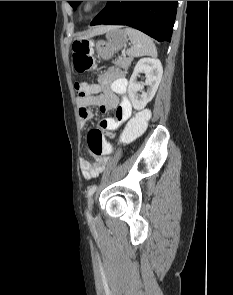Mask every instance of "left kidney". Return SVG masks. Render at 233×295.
I'll use <instances>...</instances> for the list:
<instances>
[{"instance_id": "5707ae66", "label": "left kidney", "mask_w": 233, "mask_h": 295, "mask_svg": "<svg viewBox=\"0 0 233 295\" xmlns=\"http://www.w3.org/2000/svg\"><path fill=\"white\" fill-rule=\"evenodd\" d=\"M140 73H145L146 80L144 84L137 82V76ZM163 74V68L160 60L156 58H142L140 59L130 78L128 85V96L136 110H142L150 102L159 86ZM144 85H147V91H143ZM138 92H142L141 95Z\"/></svg>"}]
</instances>
